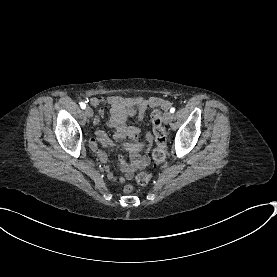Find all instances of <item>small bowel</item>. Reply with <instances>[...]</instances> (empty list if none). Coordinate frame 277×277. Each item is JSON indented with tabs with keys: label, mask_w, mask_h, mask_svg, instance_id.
Masks as SVG:
<instances>
[{
	"label": "small bowel",
	"mask_w": 277,
	"mask_h": 277,
	"mask_svg": "<svg viewBox=\"0 0 277 277\" xmlns=\"http://www.w3.org/2000/svg\"><path fill=\"white\" fill-rule=\"evenodd\" d=\"M93 105L105 106L111 105L110 118L108 120V126L116 130L115 139L121 141L127 137L131 139L129 144L127 143H110L109 137L103 132H98V138L104 145H109V150L112 153L115 152H127L131 157V163L126 164L121 157L119 159V167L121 169V176H112L110 174L111 168L108 165L103 166L102 171L105 174H109V179L113 184H122L129 181L137 170H142L149 165V159L147 155L138 156L140 149H143L145 153L149 150L153 136L151 133L145 135V142L140 144L137 142L139 135V129L135 126H128L127 119L131 116H136L141 121L146 110L150 107L157 106L161 111L166 110L170 106V102L162 97L153 96L150 98L136 97L126 98L122 96H106V97H95L91 99ZM102 114V112H101ZM153 120V118H152ZM98 118H95L94 122L98 123ZM91 146L96 149L97 145L95 141H91ZM99 161L102 164L107 163L108 158L103 153L98 152Z\"/></svg>",
	"instance_id": "1"
}]
</instances>
